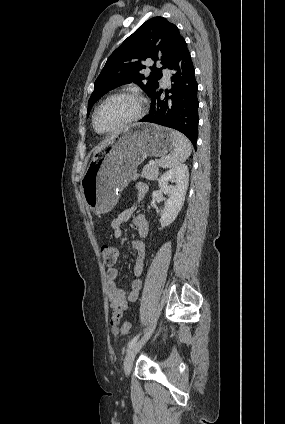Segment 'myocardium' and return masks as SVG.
<instances>
[{"mask_svg": "<svg viewBox=\"0 0 285 424\" xmlns=\"http://www.w3.org/2000/svg\"><path fill=\"white\" fill-rule=\"evenodd\" d=\"M125 96L134 98L138 102L137 112L132 117H130L129 119H127L126 121L121 123L120 125L113 127L111 129L105 130V131H99L95 126V119H96V115H97L98 111L111 99H114V98H117V97H125ZM146 109H147V101H146L145 97L137 91L125 90V91L113 93V94L107 96L94 109L93 114H92V119H91L92 127H93L94 131L98 134L116 133V132L122 131L123 129H125V128L131 126L132 124L136 123L137 121H139L145 115Z\"/></svg>", "mask_w": 285, "mask_h": 424, "instance_id": "1", "label": "myocardium"}]
</instances>
